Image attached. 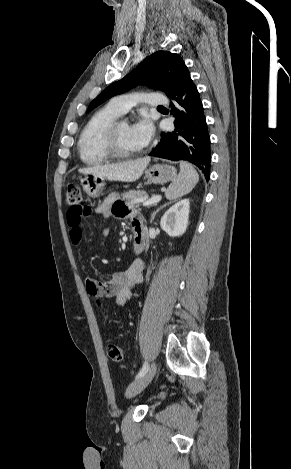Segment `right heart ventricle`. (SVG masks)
Returning <instances> with one entry per match:
<instances>
[{
	"mask_svg": "<svg viewBox=\"0 0 291 469\" xmlns=\"http://www.w3.org/2000/svg\"><path fill=\"white\" fill-rule=\"evenodd\" d=\"M121 114L109 103L89 118L77 143L78 153L83 163L99 165L111 159L104 145V133L108 125L119 118Z\"/></svg>",
	"mask_w": 291,
	"mask_h": 469,
	"instance_id": "obj_1",
	"label": "right heart ventricle"
}]
</instances>
